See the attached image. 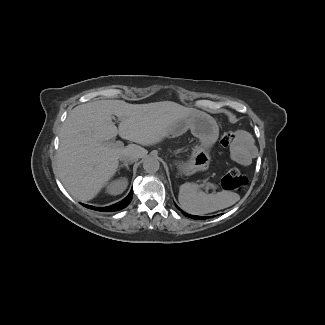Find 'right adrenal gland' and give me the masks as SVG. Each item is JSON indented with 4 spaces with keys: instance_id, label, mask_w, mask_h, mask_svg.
<instances>
[{
    "instance_id": "obj_1",
    "label": "right adrenal gland",
    "mask_w": 325,
    "mask_h": 325,
    "mask_svg": "<svg viewBox=\"0 0 325 325\" xmlns=\"http://www.w3.org/2000/svg\"><path fill=\"white\" fill-rule=\"evenodd\" d=\"M120 167H126L127 170H129L128 163H123L122 165H120Z\"/></svg>"
}]
</instances>
